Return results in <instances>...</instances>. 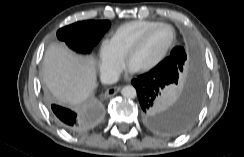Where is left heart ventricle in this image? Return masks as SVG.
Listing matches in <instances>:
<instances>
[{"label":"left heart ventricle","instance_id":"1","mask_svg":"<svg viewBox=\"0 0 244 157\" xmlns=\"http://www.w3.org/2000/svg\"><path fill=\"white\" fill-rule=\"evenodd\" d=\"M173 37L170 28L160 27L149 34L144 44L130 58L129 65L140 69L153 62L169 45Z\"/></svg>","mask_w":244,"mask_h":157}]
</instances>
